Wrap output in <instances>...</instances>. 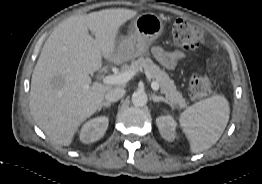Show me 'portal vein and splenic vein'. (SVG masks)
Returning a JSON list of instances; mask_svg holds the SVG:
<instances>
[{"label":"portal vein and splenic vein","instance_id":"obj_1","mask_svg":"<svg viewBox=\"0 0 262 184\" xmlns=\"http://www.w3.org/2000/svg\"><path fill=\"white\" fill-rule=\"evenodd\" d=\"M136 72L137 71L134 69H128L118 74L105 76L103 77L102 81L105 84H112V85L126 83L136 74ZM151 88L154 91H158L159 84L156 81H153L151 83Z\"/></svg>","mask_w":262,"mask_h":184}]
</instances>
